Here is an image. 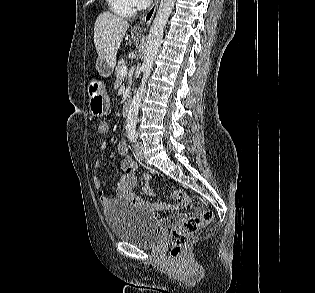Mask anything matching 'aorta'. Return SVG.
<instances>
[{"instance_id": "obj_1", "label": "aorta", "mask_w": 315, "mask_h": 293, "mask_svg": "<svg viewBox=\"0 0 315 293\" xmlns=\"http://www.w3.org/2000/svg\"><path fill=\"white\" fill-rule=\"evenodd\" d=\"M175 0H161L156 17L150 28L147 43L146 52L144 56V62L141 70L143 73L141 85L133 97L131 105L129 107L127 116V131L132 132L136 129L138 111L141 103V98L145 91V85L148 77L153 69L154 60L162 44V38L167 21L174 8Z\"/></svg>"}]
</instances>
